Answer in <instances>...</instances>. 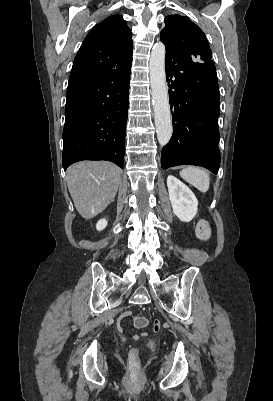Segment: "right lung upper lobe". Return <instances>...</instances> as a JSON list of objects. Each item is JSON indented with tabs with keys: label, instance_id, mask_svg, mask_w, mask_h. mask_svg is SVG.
I'll return each mask as SVG.
<instances>
[{
	"label": "right lung upper lobe",
	"instance_id": "1",
	"mask_svg": "<svg viewBox=\"0 0 273 401\" xmlns=\"http://www.w3.org/2000/svg\"><path fill=\"white\" fill-rule=\"evenodd\" d=\"M131 30L120 15L97 24L86 36L73 63L67 91L99 79L116 65L132 60Z\"/></svg>",
	"mask_w": 273,
	"mask_h": 401
}]
</instances>
